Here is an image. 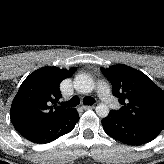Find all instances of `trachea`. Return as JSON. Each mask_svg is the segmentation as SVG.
Here are the masks:
<instances>
[{
  "label": "trachea",
  "instance_id": "1",
  "mask_svg": "<svg viewBox=\"0 0 164 164\" xmlns=\"http://www.w3.org/2000/svg\"><path fill=\"white\" fill-rule=\"evenodd\" d=\"M94 102H95V100L92 97L87 96V97L83 98V103L86 105H92ZM79 103H80L79 98L77 96H73L70 99L68 105L69 106H77V105H79Z\"/></svg>",
  "mask_w": 164,
  "mask_h": 164
}]
</instances>
